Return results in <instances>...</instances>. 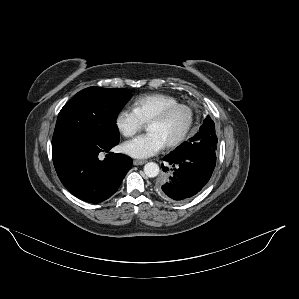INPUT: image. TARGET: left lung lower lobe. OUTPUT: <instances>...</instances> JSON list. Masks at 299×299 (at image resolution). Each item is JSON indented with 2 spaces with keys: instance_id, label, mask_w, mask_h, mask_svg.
Wrapping results in <instances>:
<instances>
[{
  "instance_id": "0a47b994",
  "label": "left lung lower lobe",
  "mask_w": 299,
  "mask_h": 299,
  "mask_svg": "<svg viewBox=\"0 0 299 299\" xmlns=\"http://www.w3.org/2000/svg\"><path fill=\"white\" fill-rule=\"evenodd\" d=\"M206 137L199 141L183 143L180 150H174L165 156L171 169L162 164L169 177L156 185L157 194L169 201H181L197 194L209 181L216 166V155Z\"/></svg>"
}]
</instances>
